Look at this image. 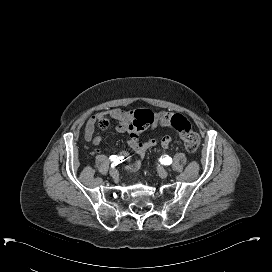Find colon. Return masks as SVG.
<instances>
[{"instance_id":"5ec220e1","label":"colon","mask_w":272,"mask_h":272,"mask_svg":"<svg viewBox=\"0 0 272 272\" xmlns=\"http://www.w3.org/2000/svg\"><path fill=\"white\" fill-rule=\"evenodd\" d=\"M150 119L151 115L149 112H137L134 115L131 126L133 129H142L149 123ZM169 122L170 125L179 132L185 149L190 153H194L199 147L200 138L198 133L193 130L190 122L180 114H175L170 117ZM97 124L100 128L104 129L109 125V120L102 118L98 120ZM132 137L134 138L135 134H132Z\"/></svg>"}]
</instances>
